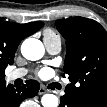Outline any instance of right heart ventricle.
Returning <instances> with one entry per match:
<instances>
[{
    "mask_svg": "<svg viewBox=\"0 0 107 107\" xmlns=\"http://www.w3.org/2000/svg\"><path fill=\"white\" fill-rule=\"evenodd\" d=\"M55 37H59V36L53 30L46 29L44 31V39L45 38H55Z\"/></svg>",
    "mask_w": 107,
    "mask_h": 107,
    "instance_id": "e07e8e85",
    "label": "right heart ventricle"
}]
</instances>
